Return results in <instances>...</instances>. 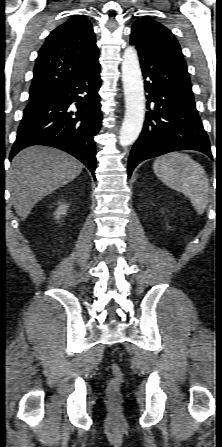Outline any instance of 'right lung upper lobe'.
Instances as JSON below:
<instances>
[{
  "label": "right lung upper lobe",
  "instance_id": "cb5924a9",
  "mask_svg": "<svg viewBox=\"0 0 222 447\" xmlns=\"http://www.w3.org/2000/svg\"><path fill=\"white\" fill-rule=\"evenodd\" d=\"M98 56L90 21L73 16L54 29L39 50L29 100L51 96L93 67Z\"/></svg>",
  "mask_w": 222,
  "mask_h": 447
}]
</instances>
